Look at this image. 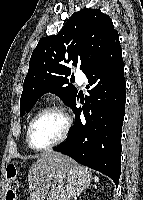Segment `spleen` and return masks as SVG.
Returning a JSON list of instances; mask_svg holds the SVG:
<instances>
[{
	"label": "spleen",
	"instance_id": "3e777b00",
	"mask_svg": "<svg viewBox=\"0 0 143 200\" xmlns=\"http://www.w3.org/2000/svg\"><path fill=\"white\" fill-rule=\"evenodd\" d=\"M99 178L97 176H95V182H98Z\"/></svg>",
	"mask_w": 143,
	"mask_h": 200
}]
</instances>
